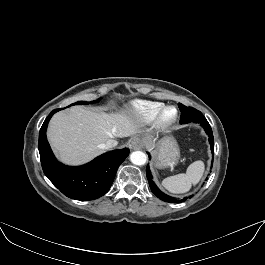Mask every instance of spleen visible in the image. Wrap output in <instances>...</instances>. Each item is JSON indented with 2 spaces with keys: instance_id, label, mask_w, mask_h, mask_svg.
I'll return each instance as SVG.
<instances>
[{
  "instance_id": "spleen-1",
  "label": "spleen",
  "mask_w": 265,
  "mask_h": 265,
  "mask_svg": "<svg viewBox=\"0 0 265 265\" xmlns=\"http://www.w3.org/2000/svg\"><path fill=\"white\" fill-rule=\"evenodd\" d=\"M203 172L204 163L195 161L188 166L186 173L167 177L162 181V185L172 193H185L200 181Z\"/></svg>"
}]
</instances>
